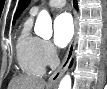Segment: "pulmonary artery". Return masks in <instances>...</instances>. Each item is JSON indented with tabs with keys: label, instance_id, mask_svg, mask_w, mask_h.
Here are the masks:
<instances>
[{
	"label": "pulmonary artery",
	"instance_id": "e3ab8cb5",
	"mask_svg": "<svg viewBox=\"0 0 107 89\" xmlns=\"http://www.w3.org/2000/svg\"><path fill=\"white\" fill-rule=\"evenodd\" d=\"M46 5L52 8H62L65 6V0H50L46 3ZM40 9H41L40 5L33 6L30 10V15L31 16L37 15Z\"/></svg>",
	"mask_w": 107,
	"mask_h": 89
}]
</instances>
